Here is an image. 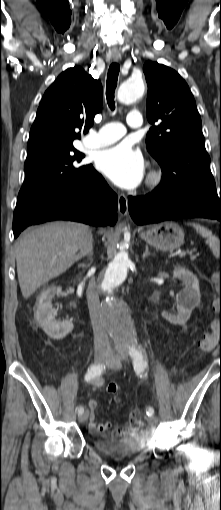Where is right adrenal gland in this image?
Masks as SVG:
<instances>
[{
    "label": "right adrenal gland",
    "mask_w": 221,
    "mask_h": 510,
    "mask_svg": "<svg viewBox=\"0 0 221 510\" xmlns=\"http://www.w3.org/2000/svg\"><path fill=\"white\" fill-rule=\"evenodd\" d=\"M77 258H79V257L77 256ZM79 267H86V264L81 263V264H79Z\"/></svg>",
    "instance_id": "obj_1"
}]
</instances>
